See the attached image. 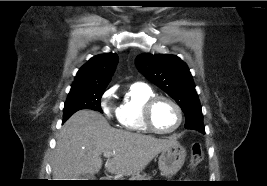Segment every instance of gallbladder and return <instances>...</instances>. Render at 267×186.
<instances>
[{"mask_svg": "<svg viewBox=\"0 0 267 186\" xmlns=\"http://www.w3.org/2000/svg\"><path fill=\"white\" fill-rule=\"evenodd\" d=\"M94 178V175L92 174H84L81 176V180H91Z\"/></svg>", "mask_w": 267, "mask_h": 186, "instance_id": "gallbladder-1", "label": "gallbladder"}]
</instances>
